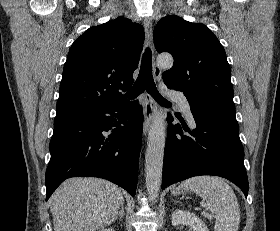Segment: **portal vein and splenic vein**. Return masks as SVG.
<instances>
[{
	"instance_id": "obj_1",
	"label": "portal vein and splenic vein",
	"mask_w": 280,
	"mask_h": 231,
	"mask_svg": "<svg viewBox=\"0 0 280 231\" xmlns=\"http://www.w3.org/2000/svg\"><path fill=\"white\" fill-rule=\"evenodd\" d=\"M202 215H204V217H209V219H212V217H215V215H213V213H207V211H202Z\"/></svg>"
}]
</instances>
